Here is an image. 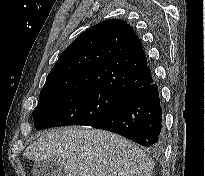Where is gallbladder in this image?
I'll return each instance as SVG.
<instances>
[{
    "label": "gallbladder",
    "mask_w": 205,
    "mask_h": 176,
    "mask_svg": "<svg viewBox=\"0 0 205 176\" xmlns=\"http://www.w3.org/2000/svg\"><path fill=\"white\" fill-rule=\"evenodd\" d=\"M33 176H67L64 167L53 161H40L32 167Z\"/></svg>",
    "instance_id": "gallbladder-1"
}]
</instances>
